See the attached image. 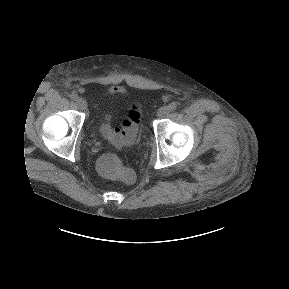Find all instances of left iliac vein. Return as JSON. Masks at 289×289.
Masks as SVG:
<instances>
[{
    "label": "left iliac vein",
    "mask_w": 289,
    "mask_h": 289,
    "mask_svg": "<svg viewBox=\"0 0 289 289\" xmlns=\"http://www.w3.org/2000/svg\"><path fill=\"white\" fill-rule=\"evenodd\" d=\"M169 112H170V110H169L168 106H162L157 111V116L162 118V117L166 116Z\"/></svg>",
    "instance_id": "left-iliac-vein-1"
}]
</instances>
